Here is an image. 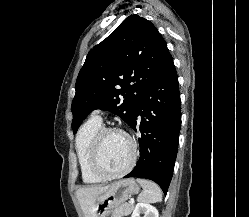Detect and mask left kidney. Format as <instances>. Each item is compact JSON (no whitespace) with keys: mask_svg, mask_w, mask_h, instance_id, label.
<instances>
[{"mask_svg":"<svg viewBox=\"0 0 249 217\" xmlns=\"http://www.w3.org/2000/svg\"><path fill=\"white\" fill-rule=\"evenodd\" d=\"M140 214H144V217H159L158 210L147 203H138L131 215V217H140Z\"/></svg>","mask_w":249,"mask_h":217,"instance_id":"1","label":"left kidney"}]
</instances>
